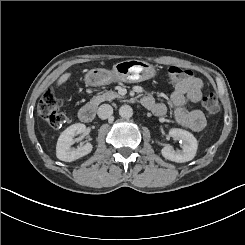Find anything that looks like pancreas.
<instances>
[{"instance_id":"1","label":"pancreas","mask_w":245,"mask_h":245,"mask_svg":"<svg viewBox=\"0 0 245 245\" xmlns=\"http://www.w3.org/2000/svg\"><path fill=\"white\" fill-rule=\"evenodd\" d=\"M112 98H122V96L116 91H107L101 95H94L93 98L89 100V104L99 105L100 103L110 100Z\"/></svg>"}]
</instances>
